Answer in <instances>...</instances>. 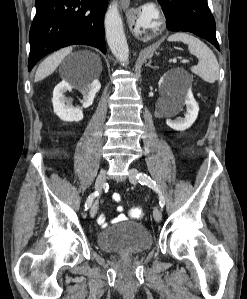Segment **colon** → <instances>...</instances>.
<instances>
[{
    "label": "colon",
    "mask_w": 247,
    "mask_h": 299,
    "mask_svg": "<svg viewBox=\"0 0 247 299\" xmlns=\"http://www.w3.org/2000/svg\"><path fill=\"white\" fill-rule=\"evenodd\" d=\"M129 216L134 219H141L143 217V211L138 207L131 208L129 210Z\"/></svg>",
    "instance_id": "obj_1"
}]
</instances>
